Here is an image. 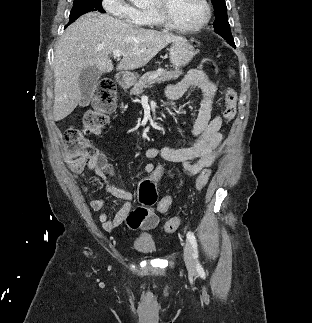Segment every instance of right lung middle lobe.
Instances as JSON below:
<instances>
[{
    "mask_svg": "<svg viewBox=\"0 0 312 323\" xmlns=\"http://www.w3.org/2000/svg\"><path fill=\"white\" fill-rule=\"evenodd\" d=\"M101 1L102 0H74L73 8L69 16L68 25L74 22L79 16L90 11H98L105 13V11L102 8Z\"/></svg>",
    "mask_w": 312,
    "mask_h": 323,
    "instance_id": "dd1d6c3e",
    "label": "right lung middle lobe"
}]
</instances>
